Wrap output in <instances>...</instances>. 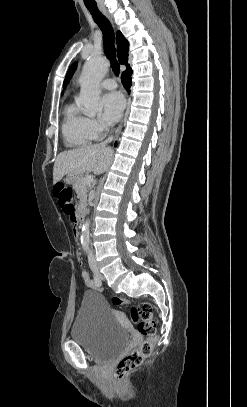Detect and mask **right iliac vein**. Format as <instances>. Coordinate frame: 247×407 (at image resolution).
Segmentation results:
<instances>
[{"label":"right iliac vein","mask_w":247,"mask_h":407,"mask_svg":"<svg viewBox=\"0 0 247 407\" xmlns=\"http://www.w3.org/2000/svg\"><path fill=\"white\" fill-rule=\"evenodd\" d=\"M93 270H94L95 272H97V267H96V266H93Z\"/></svg>","instance_id":"63e3f726"}]
</instances>
